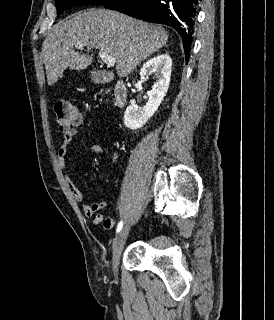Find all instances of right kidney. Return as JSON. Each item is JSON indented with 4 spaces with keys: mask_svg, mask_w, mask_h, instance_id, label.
I'll return each instance as SVG.
<instances>
[{
    "mask_svg": "<svg viewBox=\"0 0 274 320\" xmlns=\"http://www.w3.org/2000/svg\"><path fill=\"white\" fill-rule=\"evenodd\" d=\"M155 72L156 84L149 94V100L146 102V106H128L124 112V126L129 130H138L143 128L149 118H152L156 110H158L161 102H163L164 96L167 94L169 88V82L172 72V60L169 54H158L155 58L147 60L143 68L140 70L141 78L149 76Z\"/></svg>",
    "mask_w": 274,
    "mask_h": 320,
    "instance_id": "1",
    "label": "right kidney"
}]
</instances>
